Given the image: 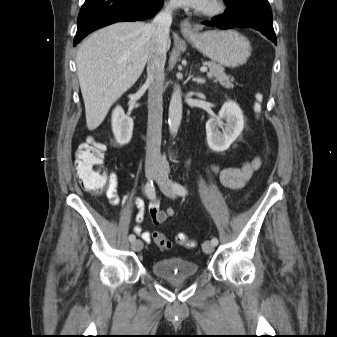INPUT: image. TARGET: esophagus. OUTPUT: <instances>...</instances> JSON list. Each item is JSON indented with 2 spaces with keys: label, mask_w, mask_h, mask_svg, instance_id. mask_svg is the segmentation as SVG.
<instances>
[{
  "label": "esophagus",
  "mask_w": 337,
  "mask_h": 337,
  "mask_svg": "<svg viewBox=\"0 0 337 337\" xmlns=\"http://www.w3.org/2000/svg\"><path fill=\"white\" fill-rule=\"evenodd\" d=\"M180 31L183 35H194V29L189 20L185 19L180 24Z\"/></svg>",
  "instance_id": "obj_1"
}]
</instances>
